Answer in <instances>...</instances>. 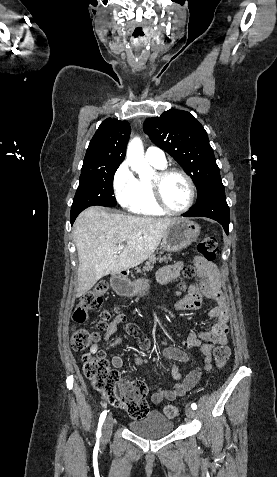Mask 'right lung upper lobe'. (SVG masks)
I'll use <instances>...</instances> for the list:
<instances>
[{
  "label": "right lung upper lobe",
  "mask_w": 277,
  "mask_h": 477,
  "mask_svg": "<svg viewBox=\"0 0 277 477\" xmlns=\"http://www.w3.org/2000/svg\"><path fill=\"white\" fill-rule=\"evenodd\" d=\"M130 132L127 121L104 120L90 141L81 171L119 167L126 154Z\"/></svg>",
  "instance_id": "right-lung-upper-lobe-1"
}]
</instances>
